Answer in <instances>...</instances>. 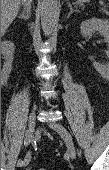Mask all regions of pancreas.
I'll use <instances>...</instances> for the list:
<instances>
[{
	"label": "pancreas",
	"mask_w": 109,
	"mask_h": 170,
	"mask_svg": "<svg viewBox=\"0 0 109 170\" xmlns=\"http://www.w3.org/2000/svg\"><path fill=\"white\" fill-rule=\"evenodd\" d=\"M101 11H102L103 13H108V11H107L106 8L101 9Z\"/></svg>",
	"instance_id": "obj_1"
}]
</instances>
